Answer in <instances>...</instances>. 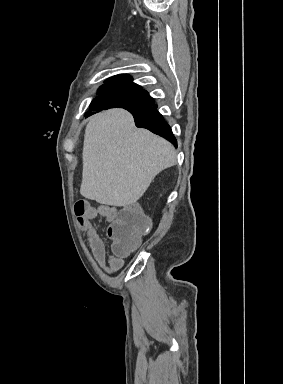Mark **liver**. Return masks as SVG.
Listing matches in <instances>:
<instances>
[{
	"label": "liver",
	"instance_id": "6515ba94",
	"mask_svg": "<svg viewBox=\"0 0 283 384\" xmlns=\"http://www.w3.org/2000/svg\"><path fill=\"white\" fill-rule=\"evenodd\" d=\"M176 156L170 142L135 128L126 110L100 112L85 130L80 194L106 206H132L157 174L175 166Z\"/></svg>",
	"mask_w": 283,
	"mask_h": 384
}]
</instances>
